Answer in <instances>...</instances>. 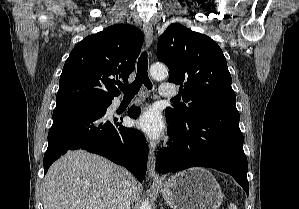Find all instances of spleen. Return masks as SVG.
I'll return each instance as SVG.
<instances>
[{
  "label": "spleen",
  "mask_w": 299,
  "mask_h": 209,
  "mask_svg": "<svg viewBox=\"0 0 299 209\" xmlns=\"http://www.w3.org/2000/svg\"><path fill=\"white\" fill-rule=\"evenodd\" d=\"M229 209H237V208H236L235 204L231 203L230 206H229Z\"/></svg>",
  "instance_id": "1"
}]
</instances>
